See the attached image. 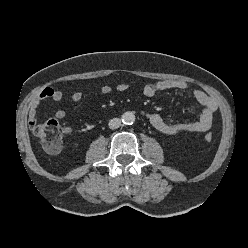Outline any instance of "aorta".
<instances>
[{
  "instance_id": "762f6f07",
  "label": "aorta",
  "mask_w": 248,
  "mask_h": 248,
  "mask_svg": "<svg viewBox=\"0 0 248 248\" xmlns=\"http://www.w3.org/2000/svg\"><path fill=\"white\" fill-rule=\"evenodd\" d=\"M122 122L126 125H132L135 122V115L130 111L123 113Z\"/></svg>"
}]
</instances>
